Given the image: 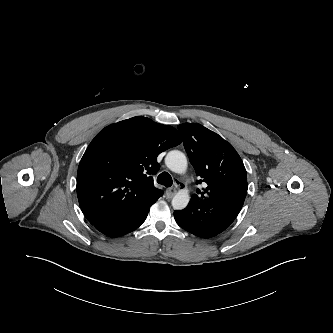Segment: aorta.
I'll return each instance as SVG.
<instances>
[{
    "label": "aorta",
    "instance_id": "1",
    "mask_svg": "<svg viewBox=\"0 0 333 333\" xmlns=\"http://www.w3.org/2000/svg\"><path fill=\"white\" fill-rule=\"evenodd\" d=\"M166 166L173 172L182 174L187 169V159L184 153L178 150L170 151L165 158ZM189 203L187 190H180L172 199V206L175 210L184 209Z\"/></svg>",
    "mask_w": 333,
    "mask_h": 333
}]
</instances>
